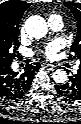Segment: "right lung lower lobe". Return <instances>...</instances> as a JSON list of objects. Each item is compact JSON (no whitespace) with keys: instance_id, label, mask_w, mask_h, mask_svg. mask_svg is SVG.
Masks as SVG:
<instances>
[{"instance_id":"98d812e1","label":"right lung lower lobe","mask_w":81,"mask_h":124,"mask_svg":"<svg viewBox=\"0 0 81 124\" xmlns=\"http://www.w3.org/2000/svg\"><path fill=\"white\" fill-rule=\"evenodd\" d=\"M11 62L0 63V95L8 100H17L30 89L35 72L41 66L29 64L19 73L11 69Z\"/></svg>"}]
</instances>
